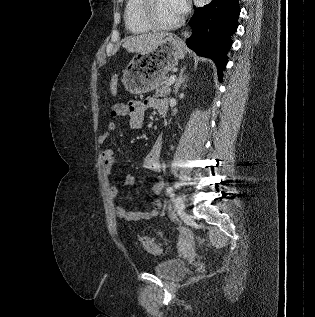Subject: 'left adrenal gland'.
Here are the masks:
<instances>
[{"label":"left adrenal gland","instance_id":"left-adrenal-gland-1","mask_svg":"<svg viewBox=\"0 0 315 317\" xmlns=\"http://www.w3.org/2000/svg\"><path fill=\"white\" fill-rule=\"evenodd\" d=\"M184 69H185V68H182V69H181L180 74H179V77H178V79H177L176 82H175V85H174V92H175V94H177L179 87L181 86V84H182V83L185 81V79H186V75H183Z\"/></svg>","mask_w":315,"mask_h":317}]
</instances>
